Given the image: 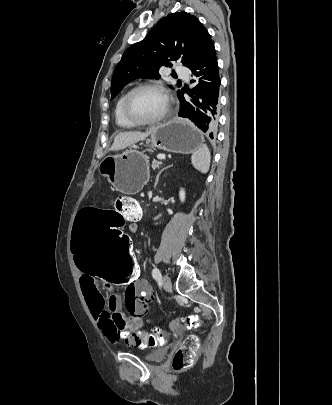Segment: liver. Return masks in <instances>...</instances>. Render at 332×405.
I'll return each mask as SVG.
<instances>
[{"label":"liver","mask_w":332,"mask_h":405,"mask_svg":"<svg viewBox=\"0 0 332 405\" xmlns=\"http://www.w3.org/2000/svg\"><path fill=\"white\" fill-rule=\"evenodd\" d=\"M158 126L150 127L145 132L141 131H130V132H121L115 138L110 150L118 151L131 146L140 140L146 139L149 135L153 134L157 130Z\"/></svg>","instance_id":"1"}]
</instances>
